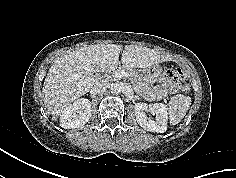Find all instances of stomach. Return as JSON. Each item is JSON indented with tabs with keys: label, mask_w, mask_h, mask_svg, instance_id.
I'll return each instance as SVG.
<instances>
[{
	"label": "stomach",
	"mask_w": 236,
	"mask_h": 178,
	"mask_svg": "<svg viewBox=\"0 0 236 178\" xmlns=\"http://www.w3.org/2000/svg\"><path fill=\"white\" fill-rule=\"evenodd\" d=\"M161 72L162 69L159 65H153L145 69H140L139 75L143 82L147 83L148 85H152L158 81Z\"/></svg>",
	"instance_id": "0dacf381"
}]
</instances>
